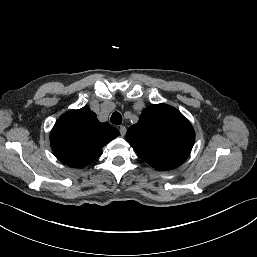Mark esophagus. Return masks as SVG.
<instances>
[{
    "instance_id": "1",
    "label": "esophagus",
    "mask_w": 257,
    "mask_h": 257,
    "mask_svg": "<svg viewBox=\"0 0 257 257\" xmlns=\"http://www.w3.org/2000/svg\"><path fill=\"white\" fill-rule=\"evenodd\" d=\"M119 131H120V135L123 137L125 136L127 129L125 126L122 125L120 126Z\"/></svg>"
}]
</instances>
